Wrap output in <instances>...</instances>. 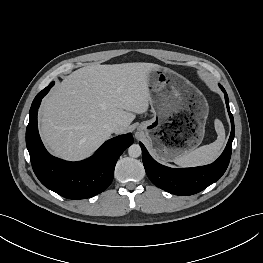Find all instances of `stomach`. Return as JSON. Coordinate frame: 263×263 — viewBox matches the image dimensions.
Here are the masks:
<instances>
[{"instance_id":"stomach-1","label":"stomach","mask_w":263,"mask_h":263,"mask_svg":"<svg viewBox=\"0 0 263 263\" xmlns=\"http://www.w3.org/2000/svg\"><path fill=\"white\" fill-rule=\"evenodd\" d=\"M153 118L140 124L156 158L173 161L202 142L209 113L206 98L185 77L159 66L147 74Z\"/></svg>"}]
</instances>
